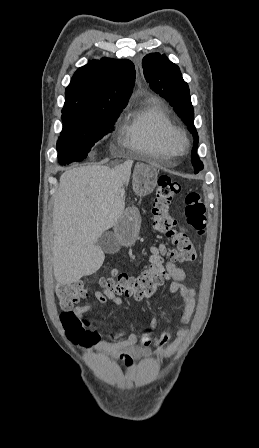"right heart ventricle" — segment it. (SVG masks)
<instances>
[{
    "instance_id": "e07e8e85",
    "label": "right heart ventricle",
    "mask_w": 259,
    "mask_h": 448,
    "mask_svg": "<svg viewBox=\"0 0 259 448\" xmlns=\"http://www.w3.org/2000/svg\"><path fill=\"white\" fill-rule=\"evenodd\" d=\"M173 127L169 115L155 102L153 108L139 100L129 106L120 118V131L125 136L126 144L144 152L165 148L167 132ZM135 163L139 154L133 153Z\"/></svg>"
}]
</instances>
